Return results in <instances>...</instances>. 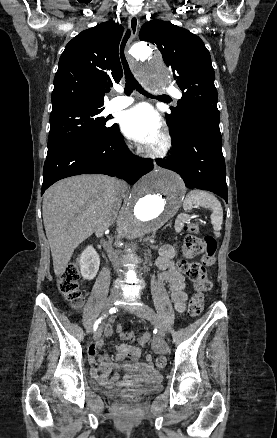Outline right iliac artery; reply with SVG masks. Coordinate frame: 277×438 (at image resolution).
<instances>
[{
    "instance_id": "1",
    "label": "right iliac artery",
    "mask_w": 277,
    "mask_h": 438,
    "mask_svg": "<svg viewBox=\"0 0 277 438\" xmlns=\"http://www.w3.org/2000/svg\"><path fill=\"white\" fill-rule=\"evenodd\" d=\"M102 317L101 318H99L98 320H96V322H95V324H94V331H96V329L98 328V325L101 323V321H102Z\"/></svg>"
}]
</instances>
